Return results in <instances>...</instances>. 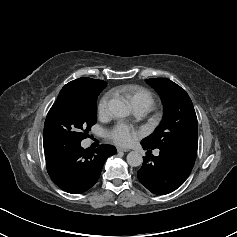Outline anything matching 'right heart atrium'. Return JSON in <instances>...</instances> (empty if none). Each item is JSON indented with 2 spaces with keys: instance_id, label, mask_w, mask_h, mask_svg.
<instances>
[{
  "instance_id": "d8ad5b80",
  "label": "right heart atrium",
  "mask_w": 237,
  "mask_h": 237,
  "mask_svg": "<svg viewBox=\"0 0 237 237\" xmlns=\"http://www.w3.org/2000/svg\"><path fill=\"white\" fill-rule=\"evenodd\" d=\"M111 94L107 93L105 94L98 103V113L99 115H105L108 111V104L110 100Z\"/></svg>"
}]
</instances>
